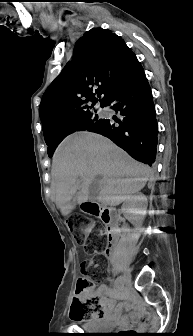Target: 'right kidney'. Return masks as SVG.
Wrapping results in <instances>:
<instances>
[{"label":"right kidney","mask_w":193,"mask_h":336,"mask_svg":"<svg viewBox=\"0 0 193 336\" xmlns=\"http://www.w3.org/2000/svg\"><path fill=\"white\" fill-rule=\"evenodd\" d=\"M147 209V198L144 194L129 196L124 200L122 210L130 215V219L142 223Z\"/></svg>","instance_id":"ca27d5eb"}]
</instances>
